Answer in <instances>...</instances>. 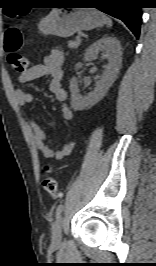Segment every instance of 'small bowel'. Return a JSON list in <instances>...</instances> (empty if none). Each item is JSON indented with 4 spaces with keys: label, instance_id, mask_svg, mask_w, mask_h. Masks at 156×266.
Returning <instances> with one entry per match:
<instances>
[{
    "label": "small bowel",
    "instance_id": "1",
    "mask_svg": "<svg viewBox=\"0 0 156 266\" xmlns=\"http://www.w3.org/2000/svg\"><path fill=\"white\" fill-rule=\"evenodd\" d=\"M63 60H64L63 53L58 49H54L50 52L48 56L44 58L42 63L34 65L25 70L24 72H22L18 80L20 83H27L45 75L49 76L50 91L53 93L56 99L62 103L61 105L62 118L65 121L70 122L73 119V112L69 108V106L65 103L67 98V92L62 85ZM15 97L18 104L21 106L30 104L33 101V95L24 89H18L15 93ZM30 126L33 131V139L37 152L43 157L62 159L70 155L74 150L75 142L73 141L68 142L56 148H52L47 143L45 132L34 118H31Z\"/></svg>",
    "mask_w": 156,
    "mask_h": 266
}]
</instances>
